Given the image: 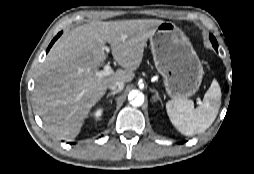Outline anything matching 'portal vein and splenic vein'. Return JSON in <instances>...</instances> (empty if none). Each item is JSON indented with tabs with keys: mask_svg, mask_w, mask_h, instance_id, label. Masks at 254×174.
Returning <instances> with one entry per match:
<instances>
[{
	"mask_svg": "<svg viewBox=\"0 0 254 174\" xmlns=\"http://www.w3.org/2000/svg\"><path fill=\"white\" fill-rule=\"evenodd\" d=\"M104 50L106 52H109L110 51V48L109 47H104ZM113 73V70L111 68V66L109 64H106L103 68V70L101 71H96V76L98 77H103V76H108V75H111Z\"/></svg>",
	"mask_w": 254,
	"mask_h": 174,
	"instance_id": "1",
	"label": "portal vein and splenic vein"
}]
</instances>
